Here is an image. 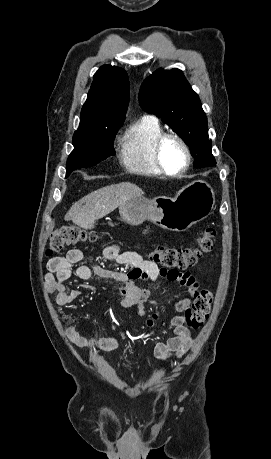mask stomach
<instances>
[{
    "instance_id": "stomach-1",
    "label": "stomach",
    "mask_w": 271,
    "mask_h": 459,
    "mask_svg": "<svg viewBox=\"0 0 271 459\" xmlns=\"http://www.w3.org/2000/svg\"><path fill=\"white\" fill-rule=\"evenodd\" d=\"M215 204L213 188L197 180L177 192L174 198H132L119 206L122 222L138 226L150 220L159 228L185 231L210 216Z\"/></svg>"
}]
</instances>
